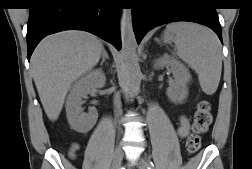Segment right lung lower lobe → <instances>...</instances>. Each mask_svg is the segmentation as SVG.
<instances>
[{"label":"right lung lower lobe","mask_w":252,"mask_h":169,"mask_svg":"<svg viewBox=\"0 0 252 169\" xmlns=\"http://www.w3.org/2000/svg\"><path fill=\"white\" fill-rule=\"evenodd\" d=\"M117 0H38L27 24L28 60L39 41L62 30L91 32L121 49Z\"/></svg>","instance_id":"98d812e1"}]
</instances>
